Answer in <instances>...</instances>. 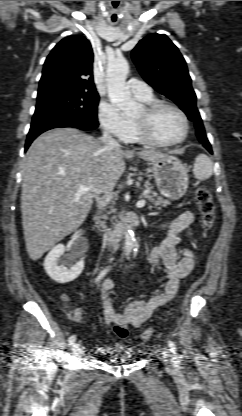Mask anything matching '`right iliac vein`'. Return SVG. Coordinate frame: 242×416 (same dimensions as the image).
<instances>
[{"mask_svg":"<svg viewBox=\"0 0 242 416\" xmlns=\"http://www.w3.org/2000/svg\"><path fill=\"white\" fill-rule=\"evenodd\" d=\"M79 352H80L79 344L78 343L73 344V346H72L73 357L77 356L79 354Z\"/></svg>","mask_w":242,"mask_h":416,"instance_id":"obj_1","label":"right iliac vein"}]
</instances>
